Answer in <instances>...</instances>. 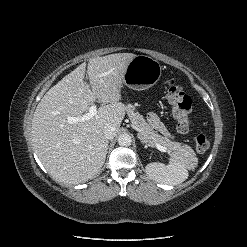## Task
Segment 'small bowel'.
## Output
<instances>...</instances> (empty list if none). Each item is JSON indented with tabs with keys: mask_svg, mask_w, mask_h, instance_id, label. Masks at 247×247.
<instances>
[{
	"mask_svg": "<svg viewBox=\"0 0 247 247\" xmlns=\"http://www.w3.org/2000/svg\"><path fill=\"white\" fill-rule=\"evenodd\" d=\"M148 121L154 128H156L161 133L165 135H170L169 131L166 129V127L164 126L163 122L161 121V119L157 114L149 113Z\"/></svg>",
	"mask_w": 247,
	"mask_h": 247,
	"instance_id": "c3829d8e",
	"label": "small bowel"
}]
</instances>
